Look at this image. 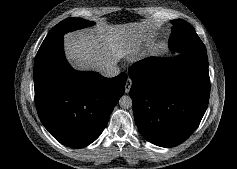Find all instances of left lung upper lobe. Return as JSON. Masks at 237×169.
I'll return each instance as SVG.
<instances>
[{"label": "left lung upper lobe", "instance_id": "obj_1", "mask_svg": "<svg viewBox=\"0 0 237 169\" xmlns=\"http://www.w3.org/2000/svg\"><path fill=\"white\" fill-rule=\"evenodd\" d=\"M171 24L173 25L169 39L171 50L177 52L189 50L206 51L203 42L189 23L182 19H176L171 21Z\"/></svg>", "mask_w": 237, "mask_h": 169}]
</instances>
